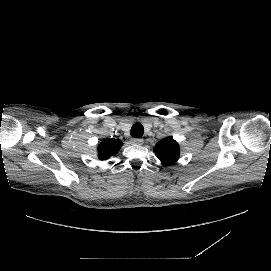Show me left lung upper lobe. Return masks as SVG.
<instances>
[{
  "instance_id": "5c2ea615",
  "label": "left lung upper lobe",
  "mask_w": 271,
  "mask_h": 271,
  "mask_svg": "<svg viewBox=\"0 0 271 271\" xmlns=\"http://www.w3.org/2000/svg\"><path fill=\"white\" fill-rule=\"evenodd\" d=\"M154 152L163 164L169 165L178 159L179 146L172 137H166L156 144Z\"/></svg>"
}]
</instances>
